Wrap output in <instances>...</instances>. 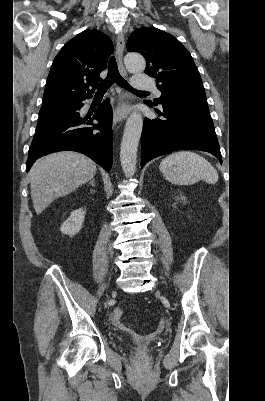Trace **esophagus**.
Wrapping results in <instances>:
<instances>
[{"mask_svg":"<svg viewBox=\"0 0 265 401\" xmlns=\"http://www.w3.org/2000/svg\"><path fill=\"white\" fill-rule=\"evenodd\" d=\"M124 47H125L124 35L123 33H118L117 43H116V56L118 60V67L121 75L127 76V71L125 70L123 64ZM129 105L130 102H123V101L118 102L113 114V124H116L121 120H123L124 118H126V109Z\"/></svg>","mask_w":265,"mask_h":401,"instance_id":"1","label":"esophagus"}]
</instances>
